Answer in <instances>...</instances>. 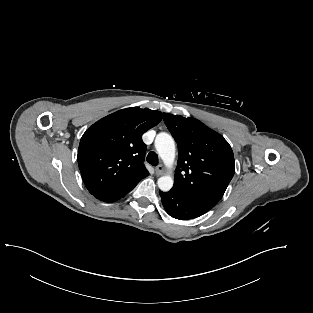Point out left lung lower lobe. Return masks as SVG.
<instances>
[{
    "label": "left lung lower lobe",
    "mask_w": 313,
    "mask_h": 313,
    "mask_svg": "<svg viewBox=\"0 0 313 313\" xmlns=\"http://www.w3.org/2000/svg\"><path fill=\"white\" fill-rule=\"evenodd\" d=\"M159 194L166 212L176 219H193L213 208L210 204L181 195L172 189L168 192L159 191Z\"/></svg>",
    "instance_id": "obj_1"
}]
</instances>
